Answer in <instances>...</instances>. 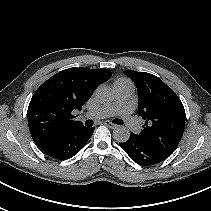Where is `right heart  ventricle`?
<instances>
[{
  "label": "right heart ventricle",
  "mask_w": 211,
  "mask_h": 211,
  "mask_svg": "<svg viewBox=\"0 0 211 211\" xmlns=\"http://www.w3.org/2000/svg\"><path fill=\"white\" fill-rule=\"evenodd\" d=\"M124 84H132L130 80L126 79V78H118L117 80H115L114 82V87L118 86V85H124Z\"/></svg>",
  "instance_id": "e07e8e85"
}]
</instances>
